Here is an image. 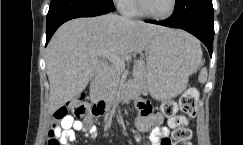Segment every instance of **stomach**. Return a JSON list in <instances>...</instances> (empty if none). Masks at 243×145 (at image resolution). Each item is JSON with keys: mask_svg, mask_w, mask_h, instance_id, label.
<instances>
[{"mask_svg": "<svg viewBox=\"0 0 243 145\" xmlns=\"http://www.w3.org/2000/svg\"><path fill=\"white\" fill-rule=\"evenodd\" d=\"M199 51L200 44L191 35L166 32L155 36L146 49V80L153 96L169 100L181 94L198 67Z\"/></svg>", "mask_w": 243, "mask_h": 145, "instance_id": "stomach-1", "label": "stomach"}]
</instances>
